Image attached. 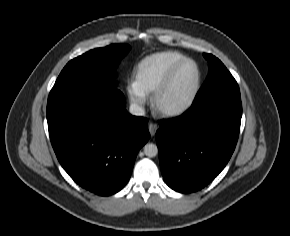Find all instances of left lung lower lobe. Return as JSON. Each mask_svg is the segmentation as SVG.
I'll use <instances>...</instances> for the list:
<instances>
[{"label":"left lung lower lobe","mask_w":290,"mask_h":236,"mask_svg":"<svg viewBox=\"0 0 290 236\" xmlns=\"http://www.w3.org/2000/svg\"><path fill=\"white\" fill-rule=\"evenodd\" d=\"M242 117L238 84L195 100L156 132L163 178L173 190L195 192L224 169L236 147Z\"/></svg>","instance_id":"0a47b994"}]
</instances>
